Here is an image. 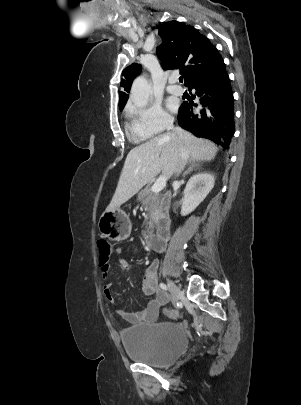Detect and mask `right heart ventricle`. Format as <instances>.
Returning a JSON list of instances; mask_svg holds the SVG:
<instances>
[{
    "label": "right heart ventricle",
    "instance_id": "obj_1",
    "mask_svg": "<svg viewBox=\"0 0 301 405\" xmlns=\"http://www.w3.org/2000/svg\"><path fill=\"white\" fill-rule=\"evenodd\" d=\"M126 129L129 133V136L132 140L140 142L146 140L149 135L141 131V129L136 124L132 110H127L126 112Z\"/></svg>",
    "mask_w": 301,
    "mask_h": 405
}]
</instances>
